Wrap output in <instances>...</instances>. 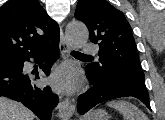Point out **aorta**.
I'll use <instances>...</instances> for the list:
<instances>
[{"label": "aorta", "mask_w": 165, "mask_h": 120, "mask_svg": "<svg viewBox=\"0 0 165 120\" xmlns=\"http://www.w3.org/2000/svg\"><path fill=\"white\" fill-rule=\"evenodd\" d=\"M66 35L71 46L80 48L88 40L89 32L84 23L71 21L66 26Z\"/></svg>", "instance_id": "aorta-1"}]
</instances>
